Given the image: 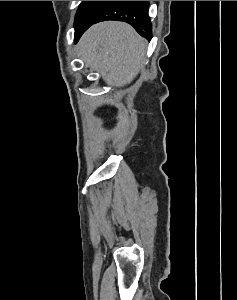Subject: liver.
Here are the masks:
<instances>
[{
  "label": "liver",
  "mask_w": 237,
  "mask_h": 300,
  "mask_svg": "<svg viewBox=\"0 0 237 300\" xmlns=\"http://www.w3.org/2000/svg\"><path fill=\"white\" fill-rule=\"evenodd\" d=\"M127 23L104 21L90 27L81 37L79 55L86 67L100 71L107 85H129L146 63V47Z\"/></svg>",
  "instance_id": "1"
}]
</instances>
